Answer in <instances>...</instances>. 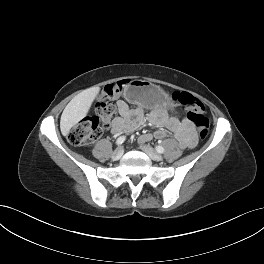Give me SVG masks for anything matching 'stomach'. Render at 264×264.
I'll use <instances>...</instances> for the list:
<instances>
[{
	"label": "stomach",
	"mask_w": 264,
	"mask_h": 264,
	"mask_svg": "<svg viewBox=\"0 0 264 264\" xmlns=\"http://www.w3.org/2000/svg\"><path fill=\"white\" fill-rule=\"evenodd\" d=\"M125 96L130 102L141 104L146 108L172 106L167 93L160 87L145 80L131 81Z\"/></svg>",
	"instance_id": "stomach-1"
}]
</instances>
